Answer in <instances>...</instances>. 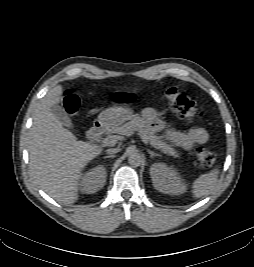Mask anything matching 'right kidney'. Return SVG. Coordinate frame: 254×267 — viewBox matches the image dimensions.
I'll return each mask as SVG.
<instances>
[{"label":"right kidney","mask_w":254,"mask_h":267,"mask_svg":"<svg viewBox=\"0 0 254 267\" xmlns=\"http://www.w3.org/2000/svg\"><path fill=\"white\" fill-rule=\"evenodd\" d=\"M107 172L103 165H98L80 177L79 188L82 192L92 194L103 188Z\"/></svg>","instance_id":"ca27d5eb"}]
</instances>
